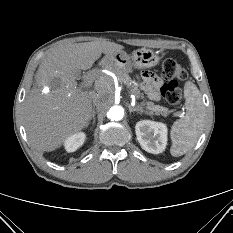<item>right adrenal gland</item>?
I'll use <instances>...</instances> for the list:
<instances>
[{
	"instance_id": "1",
	"label": "right adrenal gland",
	"mask_w": 233,
	"mask_h": 233,
	"mask_svg": "<svg viewBox=\"0 0 233 233\" xmlns=\"http://www.w3.org/2000/svg\"><path fill=\"white\" fill-rule=\"evenodd\" d=\"M91 119H93V122H92V127H93V126H94V124H95V111H94V110H93V113H92Z\"/></svg>"
}]
</instances>
